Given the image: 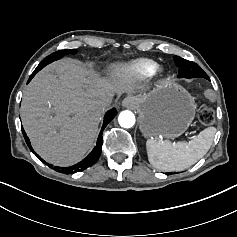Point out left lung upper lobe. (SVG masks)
<instances>
[{"label":"left lung upper lobe","instance_id":"left-lung-upper-lobe-1","mask_svg":"<svg viewBox=\"0 0 237 237\" xmlns=\"http://www.w3.org/2000/svg\"><path fill=\"white\" fill-rule=\"evenodd\" d=\"M174 61L179 67L178 77L183 78H205L210 81L208 75L202 70V68L192 61L185 60L179 56H174Z\"/></svg>","mask_w":237,"mask_h":237}]
</instances>
